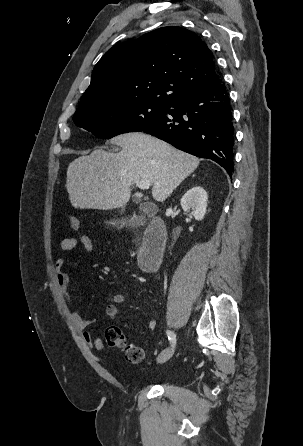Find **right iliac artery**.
<instances>
[{
  "label": "right iliac artery",
  "mask_w": 303,
  "mask_h": 446,
  "mask_svg": "<svg viewBox=\"0 0 303 446\" xmlns=\"http://www.w3.org/2000/svg\"><path fill=\"white\" fill-rule=\"evenodd\" d=\"M166 334L168 336V339H169L170 343L172 345H174L176 343V335L174 334V332L168 330L166 332Z\"/></svg>",
  "instance_id": "82829eb1"
}]
</instances>
